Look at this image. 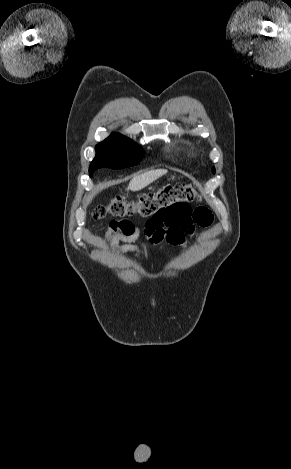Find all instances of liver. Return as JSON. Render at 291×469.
I'll use <instances>...</instances> for the list:
<instances>
[{"label":"liver","mask_w":291,"mask_h":469,"mask_svg":"<svg viewBox=\"0 0 291 469\" xmlns=\"http://www.w3.org/2000/svg\"><path fill=\"white\" fill-rule=\"evenodd\" d=\"M166 173L167 170L165 169H157L138 175L130 181L128 189L131 191H139Z\"/></svg>","instance_id":"6515ba94"}]
</instances>
